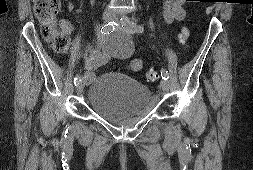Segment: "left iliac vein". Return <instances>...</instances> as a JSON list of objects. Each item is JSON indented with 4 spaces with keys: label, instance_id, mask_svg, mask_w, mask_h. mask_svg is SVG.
Returning a JSON list of instances; mask_svg holds the SVG:
<instances>
[{
    "label": "left iliac vein",
    "instance_id": "left-iliac-vein-1",
    "mask_svg": "<svg viewBox=\"0 0 253 170\" xmlns=\"http://www.w3.org/2000/svg\"><path fill=\"white\" fill-rule=\"evenodd\" d=\"M112 20L115 22H120L121 24L124 23L125 24L124 29L127 30L128 32L132 33V25H131L132 21H130L129 18L123 17V21H122L119 19L118 16L113 15ZM169 87H170L169 82L167 80L163 79L161 81V88H162L163 92L167 93L169 91Z\"/></svg>",
    "mask_w": 253,
    "mask_h": 170
}]
</instances>
